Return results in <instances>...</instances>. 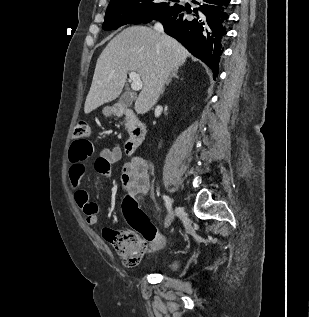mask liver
Wrapping results in <instances>:
<instances>
[{
	"label": "liver",
	"instance_id": "6515ba94",
	"mask_svg": "<svg viewBox=\"0 0 309 317\" xmlns=\"http://www.w3.org/2000/svg\"><path fill=\"white\" fill-rule=\"evenodd\" d=\"M189 56L178 41L149 27L124 29L108 43L97 60L84 112L89 114L116 99L129 71L137 72L143 83L134 109L138 114L148 112L156 104L168 76Z\"/></svg>",
	"mask_w": 309,
	"mask_h": 317
}]
</instances>
